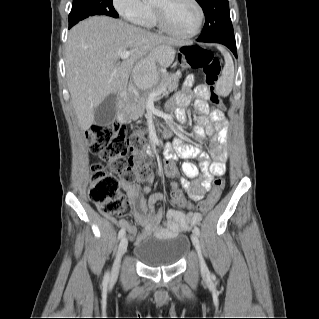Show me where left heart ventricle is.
I'll return each mask as SVG.
<instances>
[{"instance_id":"1","label":"left heart ventricle","mask_w":319,"mask_h":319,"mask_svg":"<svg viewBox=\"0 0 319 319\" xmlns=\"http://www.w3.org/2000/svg\"><path fill=\"white\" fill-rule=\"evenodd\" d=\"M153 5L164 7L166 21L175 31L186 34L195 28L198 13L189 0H154Z\"/></svg>"}]
</instances>
